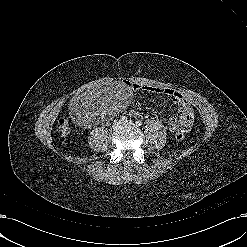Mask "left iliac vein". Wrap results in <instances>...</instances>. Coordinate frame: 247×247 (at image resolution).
Here are the masks:
<instances>
[{"label": "left iliac vein", "mask_w": 247, "mask_h": 247, "mask_svg": "<svg viewBox=\"0 0 247 247\" xmlns=\"http://www.w3.org/2000/svg\"><path fill=\"white\" fill-rule=\"evenodd\" d=\"M123 125H133L132 121L124 122Z\"/></svg>", "instance_id": "1"}]
</instances>
